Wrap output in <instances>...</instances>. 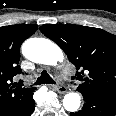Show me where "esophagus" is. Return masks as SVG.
<instances>
[{
	"label": "esophagus",
	"instance_id": "esophagus-1",
	"mask_svg": "<svg viewBox=\"0 0 116 116\" xmlns=\"http://www.w3.org/2000/svg\"><path fill=\"white\" fill-rule=\"evenodd\" d=\"M54 87V89L58 92V93H60V94H64V93H66L67 92V88H66V86H64L63 84H57V85H55V86H53Z\"/></svg>",
	"mask_w": 116,
	"mask_h": 116
}]
</instances>
